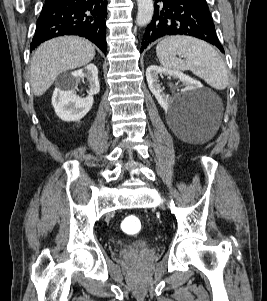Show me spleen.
Instances as JSON below:
<instances>
[{"mask_svg": "<svg viewBox=\"0 0 267 301\" xmlns=\"http://www.w3.org/2000/svg\"><path fill=\"white\" fill-rule=\"evenodd\" d=\"M156 54L164 68L190 70L216 90L228 85V71L220 54L210 44L189 36H169L157 44ZM184 55L185 60L177 58Z\"/></svg>", "mask_w": 267, "mask_h": 301, "instance_id": "3e777b00", "label": "spleen"}]
</instances>
